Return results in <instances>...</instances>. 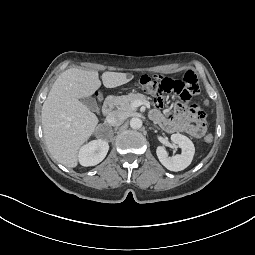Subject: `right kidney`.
Segmentation results:
<instances>
[{
    "label": "right kidney",
    "instance_id": "1",
    "mask_svg": "<svg viewBox=\"0 0 255 255\" xmlns=\"http://www.w3.org/2000/svg\"><path fill=\"white\" fill-rule=\"evenodd\" d=\"M108 150V142L102 139L93 140L80 148L79 162L85 167L97 165L105 158Z\"/></svg>",
    "mask_w": 255,
    "mask_h": 255
}]
</instances>
